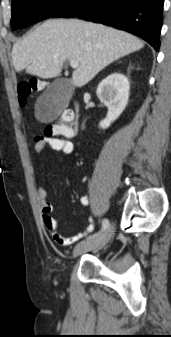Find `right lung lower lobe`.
I'll return each instance as SVG.
<instances>
[{"label": "right lung lower lobe", "mask_w": 171, "mask_h": 337, "mask_svg": "<svg viewBox=\"0 0 171 337\" xmlns=\"http://www.w3.org/2000/svg\"><path fill=\"white\" fill-rule=\"evenodd\" d=\"M163 4L164 0H74L51 17L112 26L143 38L158 51Z\"/></svg>", "instance_id": "98d812e1"}]
</instances>
